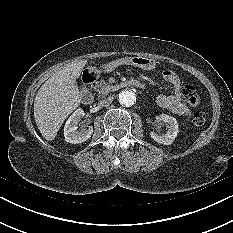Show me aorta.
<instances>
[{"label":"aorta","instance_id":"obj_1","mask_svg":"<svg viewBox=\"0 0 233 233\" xmlns=\"http://www.w3.org/2000/svg\"><path fill=\"white\" fill-rule=\"evenodd\" d=\"M119 103L122 106L130 107L136 103L137 93L134 89H125L119 93Z\"/></svg>","mask_w":233,"mask_h":233}]
</instances>
